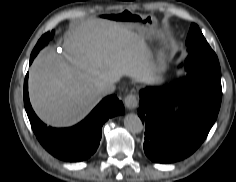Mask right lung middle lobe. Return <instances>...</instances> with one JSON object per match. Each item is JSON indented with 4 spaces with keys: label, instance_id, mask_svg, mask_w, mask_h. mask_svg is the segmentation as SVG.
<instances>
[{
    "label": "right lung middle lobe",
    "instance_id": "right-lung-middle-lobe-1",
    "mask_svg": "<svg viewBox=\"0 0 236 182\" xmlns=\"http://www.w3.org/2000/svg\"><path fill=\"white\" fill-rule=\"evenodd\" d=\"M53 35H54V31H52L51 33L48 32L44 34L37 42L36 46L34 47L32 51V54L35 53L37 55L39 50L48 44L49 40L53 37Z\"/></svg>",
    "mask_w": 236,
    "mask_h": 182
}]
</instances>
